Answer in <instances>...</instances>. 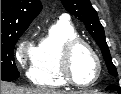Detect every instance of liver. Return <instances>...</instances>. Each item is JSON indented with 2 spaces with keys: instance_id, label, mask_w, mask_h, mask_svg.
<instances>
[{
  "instance_id": "obj_1",
  "label": "liver",
  "mask_w": 121,
  "mask_h": 94,
  "mask_svg": "<svg viewBox=\"0 0 121 94\" xmlns=\"http://www.w3.org/2000/svg\"><path fill=\"white\" fill-rule=\"evenodd\" d=\"M1 94H67L62 91L49 90L44 88H21L15 84L1 81ZM82 94V93H71ZM85 94V93H83Z\"/></svg>"
}]
</instances>
